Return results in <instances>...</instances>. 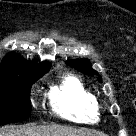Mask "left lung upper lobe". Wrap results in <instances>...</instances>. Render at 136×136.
<instances>
[{"label": "left lung upper lobe", "mask_w": 136, "mask_h": 136, "mask_svg": "<svg viewBox=\"0 0 136 136\" xmlns=\"http://www.w3.org/2000/svg\"><path fill=\"white\" fill-rule=\"evenodd\" d=\"M67 64L74 67L75 69H77L78 71L84 73V74H88V75H93L96 74L97 72L95 70H93L90 67L89 61L88 60H68ZM99 80H101V78H99Z\"/></svg>", "instance_id": "5c2ea615"}]
</instances>
